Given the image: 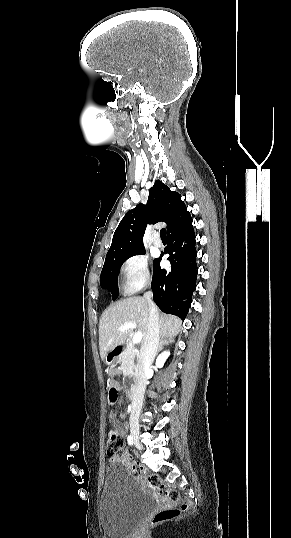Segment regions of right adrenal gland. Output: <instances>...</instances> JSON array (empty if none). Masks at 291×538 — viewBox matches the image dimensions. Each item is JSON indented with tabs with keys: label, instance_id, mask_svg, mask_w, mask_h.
I'll return each instance as SVG.
<instances>
[{
	"label": "right adrenal gland",
	"instance_id": "right-adrenal-gland-1",
	"mask_svg": "<svg viewBox=\"0 0 291 538\" xmlns=\"http://www.w3.org/2000/svg\"><path fill=\"white\" fill-rule=\"evenodd\" d=\"M174 342V339L173 338H164V337H161V340H160V343H159V346H158V351H160L162 349V346L163 345H168L170 343Z\"/></svg>",
	"mask_w": 291,
	"mask_h": 538
}]
</instances>
